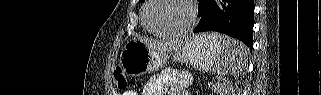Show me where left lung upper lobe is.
Segmentation results:
<instances>
[{
	"label": "left lung upper lobe",
	"mask_w": 321,
	"mask_h": 95,
	"mask_svg": "<svg viewBox=\"0 0 321 95\" xmlns=\"http://www.w3.org/2000/svg\"><path fill=\"white\" fill-rule=\"evenodd\" d=\"M140 2H144L145 0H139Z\"/></svg>",
	"instance_id": "left-lung-upper-lobe-1"
}]
</instances>
